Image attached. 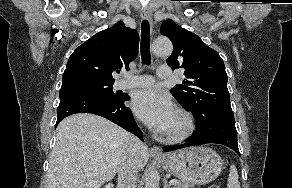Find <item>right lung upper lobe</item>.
<instances>
[{
	"instance_id": "right-lung-upper-lobe-1",
	"label": "right lung upper lobe",
	"mask_w": 292,
	"mask_h": 188,
	"mask_svg": "<svg viewBox=\"0 0 292 188\" xmlns=\"http://www.w3.org/2000/svg\"><path fill=\"white\" fill-rule=\"evenodd\" d=\"M138 45V32L119 21L77 47L67 62L63 80L95 78L114 81L112 72L129 69L128 64L136 58Z\"/></svg>"
}]
</instances>
